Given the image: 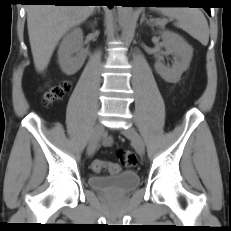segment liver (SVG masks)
<instances>
[{"mask_svg":"<svg viewBox=\"0 0 231 231\" xmlns=\"http://www.w3.org/2000/svg\"><path fill=\"white\" fill-rule=\"evenodd\" d=\"M96 6L88 5H29L28 35L37 71L42 72L61 37L73 26L85 21Z\"/></svg>","mask_w":231,"mask_h":231,"instance_id":"1","label":"liver"}]
</instances>
